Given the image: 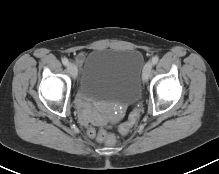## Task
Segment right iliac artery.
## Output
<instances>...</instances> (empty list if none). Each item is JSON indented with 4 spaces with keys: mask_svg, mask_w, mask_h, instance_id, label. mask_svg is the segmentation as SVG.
<instances>
[{
    "mask_svg": "<svg viewBox=\"0 0 219 174\" xmlns=\"http://www.w3.org/2000/svg\"><path fill=\"white\" fill-rule=\"evenodd\" d=\"M62 63H63L65 66H68L69 61H68L67 58L64 57V58L62 59Z\"/></svg>",
    "mask_w": 219,
    "mask_h": 174,
    "instance_id": "1",
    "label": "right iliac artery"
}]
</instances>
